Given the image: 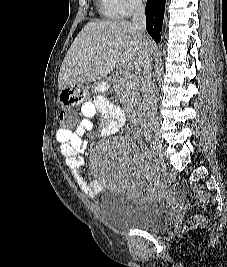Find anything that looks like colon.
Segmentation results:
<instances>
[{"mask_svg":"<svg viewBox=\"0 0 227 267\" xmlns=\"http://www.w3.org/2000/svg\"><path fill=\"white\" fill-rule=\"evenodd\" d=\"M76 115V110H60L59 111V119L62 125H60V130H71V119H74ZM202 223V218L196 216L190 219L185 227L186 228H193Z\"/></svg>","mask_w":227,"mask_h":267,"instance_id":"5ec220e1","label":"colon"}]
</instances>
